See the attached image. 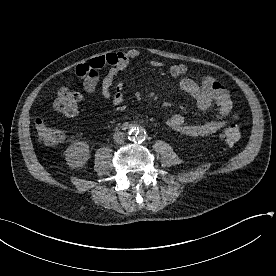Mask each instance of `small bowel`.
<instances>
[{"instance_id":"1","label":"small bowel","mask_w":276,"mask_h":276,"mask_svg":"<svg viewBox=\"0 0 276 276\" xmlns=\"http://www.w3.org/2000/svg\"><path fill=\"white\" fill-rule=\"evenodd\" d=\"M140 55L137 49L107 53L78 65L76 75L83 80V89L87 94H94L100 82L103 98L119 105L124 100L123 85L119 84L112 90L115 78ZM149 64L155 68L162 66L158 60H150ZM105 68H108V71L100 81L99 73ZM187 71L188 68L184 64H176L170 68L171 76L180 79V89L195 101L199 109L207 110L215 106L216 111L210 118L195 120H189L182 114H174L166 122L171 129L187 136H208L238 119V115L233 112L229 93L219 81L208 74L202 75L195 81L184 77Z\"/></svg>"}]
</instances>
